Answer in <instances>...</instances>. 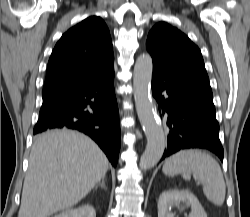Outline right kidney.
I'll return each instance as SVG.
<instances>
[{
    "label": "right kidney",
    "mask_w": 250,
    "mask_h": 217,
    "mask_svg": "<svg viewBox=\"0 0 250 217\" xmlns=\"http://www.w3.org/2000/svg\"><path fill=\"white\" fill-rule=\"evenodd\" d=\"M54 217H96L94 208L87 204L76 209H68Z\"/></svg>",
    "instance_id": "obj_1"
}]
</instances>
